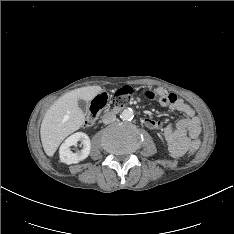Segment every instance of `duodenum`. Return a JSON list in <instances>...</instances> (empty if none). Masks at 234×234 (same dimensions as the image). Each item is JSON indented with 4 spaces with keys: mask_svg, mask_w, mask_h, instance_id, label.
Instances as JSON below:
<instances>
[{
    "mask_svg": "<svg viewBox=\"0 0 234 234\" xmlns=\"http://www.w3.org/2000/svg\"><path fill=\"white\" fill-rule=\"evenodd\" d=\"M127 105H124V106H114L113 109H112V112L113 113H118L119 111H121L122 109L126 108Z\"/></svg>",
    "mask_w": 234,
    "mask_h": 234,
    "instance_id": "1",
    "label": "duodenum"
}]
</instances>
